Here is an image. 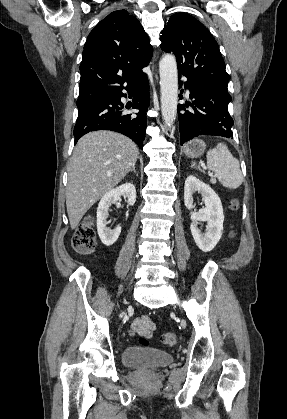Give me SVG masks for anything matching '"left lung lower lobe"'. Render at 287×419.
Listing matches in <instances>:
<instances>
[{
  "instance_id": "left-lung-lower-lobe-1",
  "label": "left lung lower lobe",
  "mask_w": 287,
  "mask_h": 419,
  "mask_svg": "<svg viewBox=\"0 0 287 419\" xmlns=\"http://www.w3.org/2000/svg\"><path fill=\"white\" fill-rule=\"evenodd\" d=\"M179 87H182L181 82ZM185 87L189 89V96L193 101L189 105H178L180 144L204 135L231 138L233 119L228 112V104L232 99L228 90L189 80L185 82ZM188 106L195 111H185V107ZM182 110L185 112H180Z\"/></svg>"
}]
</instances>
